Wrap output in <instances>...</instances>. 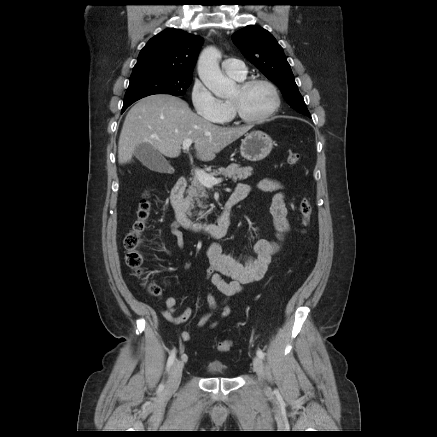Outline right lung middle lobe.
<instances>
[{
    "label": "right lung middle lobe",
    "instance_id": "1",
    "mask_svg": "<svg viewBox=\"0 0 437 437\" xmlns=\"http://www.w3.org/2000/svg\"><path fill=\"white\" fill-rule=\"evenodd\" d=\"M192 75L179 76L153 69L135 71L124 97L122 113L135 101L154 94L182 96L192 82Z\"/></svg>",
    "mask_w": 437,
    "mask_h": 437
}]
</instances>
